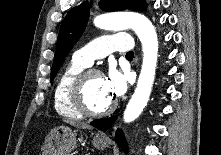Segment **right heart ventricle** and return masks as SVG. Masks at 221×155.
I'll return each instance as SVG.
<instances>
[{
	"mask_svg": "<svg viewBox=\"0 0 221 155\" xmlns=\"http://www.w3.org/2000/svg\"><path fill=\"white\" fill-rule=\"evenodd\" d=\"M86 67V65L73 60L58 77L53 99L55 110L61 116L73 119L82 118L83 115L76 111L71 105L68 92L73 79Z\"/></svg>",
	"mask_w": 221,
	"mask_h": 155,
	"instance_id": "1",
	"label": "right heart ventricle"
}]
</instances>
